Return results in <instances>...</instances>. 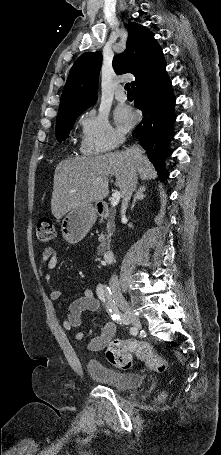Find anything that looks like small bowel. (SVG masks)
Returning a JSON list of instances; mask_svg holds the SVG:
<instances>
[{"instance_id":"c3829d8e","label":"small bowel","mask_w":221,"mask_h":455,"mask_svg":"<svg viewBox=\"0 0 221 455\" xmlns=\"http://www.w3.org/2000/svg\"><path fill=\"white\" fill-rule=\"evenodd\" d=\"M57 250L53 247H47L42 250L39 262L38 271L42 281L48 288L49 297L51 300H58L61 296V291L52 283L50 271L57 265ZM101 303L94 296L92 289H85L83 295L74 300L68 307L67 317L63 321V328L72 332L75 340H83L86 337L92 336L90 331L88 335L81 329L82 314L84 312H101ZM116 333V325L112 321L106 322L102 328L101 334L96 337H91L88 343V349L91 351H99L103 349Z\"/></svg>"}]
</instances>
